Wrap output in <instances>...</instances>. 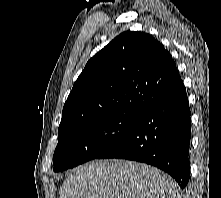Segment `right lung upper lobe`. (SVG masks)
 Returning a JSON list of instances; mask_svg holds the SVG:
<instances>
[{
  "label": "right lung upper lobe",
  "instance_id": "obj_1",
  "mask_svg": "<svg viewBox=\"0 0 221 198\" xmlns=\"http://www.w3.org/2000/svg\"><path fill=\"white\" fill-rule=\"evenodd\" d=\"M181 83L159 41L144 32L121 33L87 62L74 83L58 136L114 114L140 116Z\"/></svg>",
  "mask_w": 221,
  "mask_h": 198
}]
</instances>
